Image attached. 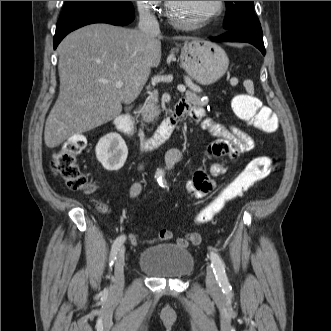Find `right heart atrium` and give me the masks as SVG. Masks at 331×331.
Segmentation results:
<instances>
[{
  "instance_id": "right-heart-atrium-1",
  "label": "right heart atrium",
  "mask_w": 331,
  "mask_h": 331,
  "mask_svg": "<svg viewBox=\"0 0 331 331\" xmlns=\"http://www.w3.org/2000/svg\"><path fill=\"white\" fill-rule=\"evenodd\" d=\"M161 1H136L141 19H155L159 16V5Z\"/></svg>"
}]
</instances>
